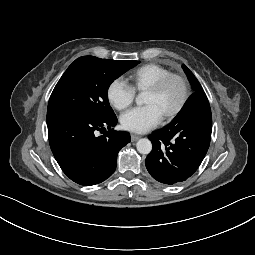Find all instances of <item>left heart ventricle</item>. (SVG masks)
<instances>
[{
  "mask_svg": "<svg viewBox=\"0 0 255 255\" xmlns=\"http://www.w3.org/2000/svg\"><path fill=\"white\" fill-rule=\"evenodd\" d=\"M182 96V85L177 79L170 80L159 92H146L144 102L154 104L165 115L173 110Z\"/></svg>",
  "mask_w": 255,
  "mask_h": 255,
  "instance_id": "left-heart-ventricle-1",
  "label": "left heart ventricle"
}]
</instances>
